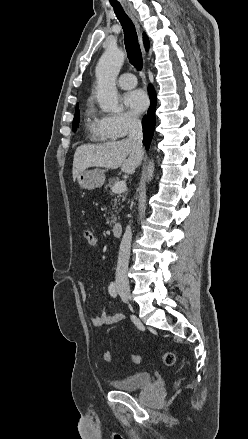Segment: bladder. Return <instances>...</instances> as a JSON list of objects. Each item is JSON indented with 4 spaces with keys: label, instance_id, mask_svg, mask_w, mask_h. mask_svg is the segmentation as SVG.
<instances>
[{
    "label": "bladder",
    "instance_id": "1",
    "mask_svg": "<svg viewBox=\"0 0 248 439\" xmlns=\"http://www.w3.org/2000/svg\"><path fill=\"white\" fill-rule=\"evenodd\" d=\"M151 384L149 372H137L120 379L112 380L111 385L119 391L130 392Z\"/></svg>",
    "mask_w": 248,
    "mask_h": 439
}]
</instances>
